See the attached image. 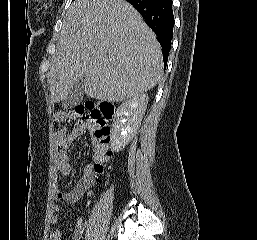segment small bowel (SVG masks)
Instances as JSON below:
<instances>
[{"mask_svg": "<svg viewBox=\"0 0 257 240\" xmlns=\"http://www.w3.org/2000/svg\"><path fill=\"white\" fill-rule=\"evenodd\" d=\"M84 128L79 126L73 132L68 133L67 130L62 129L54 134L55 144V160L54 170L56 175L67 177L72 173V165L68 157V149L74 138L78 137ZM95 183L93 176V166L88 164L77 183L69 191L63 192L58 188L54 189V196L56 201H62L67 204L77 202ZM59 206L53 204L51 206L50 222L56 224L58 222ZM84 235V224L82 221H77L73 232L75 240H81ZM49 240H63V236L60 230L54 229L49 235Z\"/></svg>", "mask_w": 257, "mask_h": 240, "instance_id": "1", "label": "small bowel"}]
</instances>
